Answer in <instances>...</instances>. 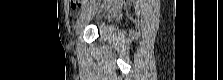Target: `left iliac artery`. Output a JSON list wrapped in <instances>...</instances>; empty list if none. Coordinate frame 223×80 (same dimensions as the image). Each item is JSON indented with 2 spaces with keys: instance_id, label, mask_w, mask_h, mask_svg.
<instances>
[{
  "instance_id": "1",
  "label": "left iliac artery",
  "mask_w": 223,
  "mask_h": 80,
  "mask_svg": "<svg viewBox=\"0 0 223 80\" xmlns=\"http://www.w3.org/2000/svg\"><path fill=\"white\" fill-rule=\"evenodd\" d=\"M88 4H89V2H88V0H86L84 6H83V8H82V13H83V11L85 10V8L87 7ZM82 13H81V14H82Z\"/></svg>"
}]
</instances>
